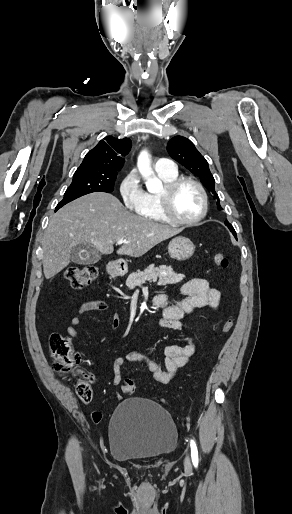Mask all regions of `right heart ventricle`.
<instances>
[{"mask_svg":"<svg viewBox=\"0 0 292 514\" xmlns=\"http://www.w3.org/2000/svg\"><path fill=\"white\" fill-rule=\"evenodd\" d=\"M159 179L164 183H169L178 178V174L173 176L164 175L161 173H157ZM157 193H152L151 191H145L144 202L142 206L137 210V213L141 216H144L148 219L157 221V222H167L164 215L162 214L157 199Z\"/></svg>","mask_w":292,"mask_h":514,"instance_id":"obj_1","label":"right heart ventricle"}]
</instances>
